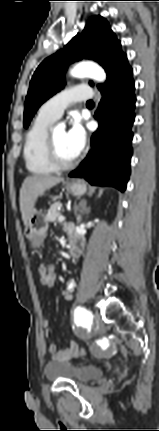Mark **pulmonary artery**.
Returning <instances> with one entry per match:
<instances>
[{"mask_svg": "<svg viewBox=\"0 0 159 431\" xmlns=\"http://www.w3.org/2000/svg\"><path fill=\"white\" fill-rule=\"evenodd\" d=\"M93 96V90L86 84L70 86L47 100L39 110V113L57 120L71 104L80 101H88Z\"/></svg>", "mask_w": 159, "mask_h": 431, "instance_id": "1", "label": "pulmonary artery"}]
</instances>
